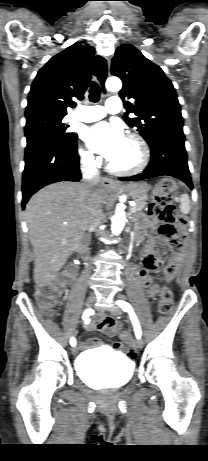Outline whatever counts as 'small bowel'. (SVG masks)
<instances>
[{
    "label": "small bowel",
    "mask_w": 208,
    "mask_h": 461,
    "mask_svg": "<svg viewBox=\"0 0 208 461\" xmlns=\"http://www.w3.org/2000/svg\"><path fill=\"white\" fill-rule=\"evenodd\" d=\"M140 215L147 217L149 215L148 209H141ZM154 227L155 234L151 235V242L147 245L146 254L143 259L144 268L140 271L139 277L143 285L148 287V293L154 295L157 292V285L152 284V278L150 271L156 269L161 265V261L157 258L167 247L179 246L180 242L185 241V234L183 229H179L178 225H156V221L149 218H141L139 227L136 232V238L143 240L147 236L149 229ZM174 254L181 256L183 254L182 248H175ZM169 264L176 266L178 264L177 258H170ZM68 271H77V263H68ZM72 279L70 274H60L59 280L61 282H68ZM88 329H98L103 333L111 337L109 348L114 353H120L122 351V342H131V336L128 332H121L120 337L115 336L120 330V324L116 322L110 316H104L88 323ZM103 342L98 338H91L80 343L79 347L82 350H86L92 347H100Z\"/></svg>",
    "instance_id": "c3829d8e"
}]
</instances>
